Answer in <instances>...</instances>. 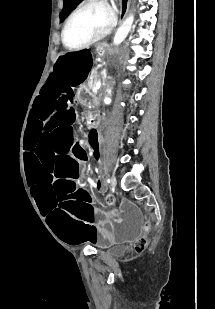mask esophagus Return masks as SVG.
Returning a JSON list of instances; mask_svg holds the SVG:
<instances>
[{
	"instance_id": "34e87169",
	"label": "esophagus",
	"mask_w": 215,
	"mask_h": 309,
	"mask_svg": "<svg viewBox=\"0 0 215 309\" xmlns=\"http://www.w3.org/2000/svg\"><path fill=\"white\" fill-rule=\"evenodd\" d=\"M129 4H130V0H121L120 17H119L120 22H122L126 17Z\"/></svg>"
}]
</instances>
